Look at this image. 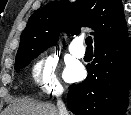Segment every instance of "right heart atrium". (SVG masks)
I'll list each match as a JSON object with an SVG mask.
<instances>
[{
  "instance_id": "right-heart-atrium-1",
  "label": "right heart atrium",
  "mask_w": 131,
  "mask_h": 115,
  "mask_svg": "<svg viewBox=\"0 0 131 115\" xmlns=\"http://www.w3.org/2000/svg\"><path fill=\"white\" fill-rule=\"evenodd\" d=\"M55 69L56 64L51 56L41 57L33 65L32 77L43 91L59 94L61 89L56 78Z\"/></svg>"
}]
</instances>
